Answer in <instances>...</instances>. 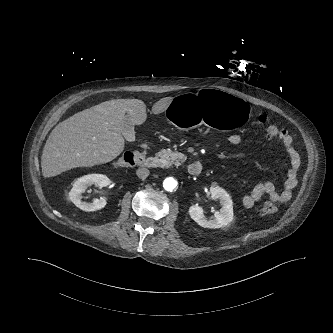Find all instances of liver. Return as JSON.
<instances>
[{
    "label": "liver",
    "mask_w": 333,
    "mask_h": 333,
    "mask_svg": "<svg viewBox=\"0 0 333 333\" xmlns=\"http://www.w3.org/2000/svg\"><path fill=\"white\" fill-rule=\"evenodd\" d=\"M172 99H160L152 106V112H164ZM125 116L135 125L143 124L147 118L145 103L139 99H112L60 122L43 148L42 175L49 178L72 168L114 160L124 150L121 127Z\"/></svg>",
    "instance_id": "1"
}]
</instances>
